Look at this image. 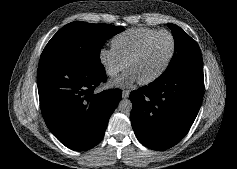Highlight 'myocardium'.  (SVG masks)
I'll return each mask as SVG.
<instances>
[{
    "mask_svg": "<svg viewBox=\"0 0 237 169\" xmlns=\"http://www.w3.org/2000/svg\"><path fill=\"white\" fill-rule=\"evenodd\" d=\"M161 34H167L170 37V39H171V51H170V54H169L165 64L162 66V68L158 72H156L155 74L151 75L150 77H148L146 79L138 80V83L141 84V85H147V84H150V83L156 81L157 79H159L166 72V70L168 69V67L170 66V64H171V62H172V60L174 58L175 51H176V42H175L174 36L172 35L171 32H169L167 30H160V31L155 32L154 34H152L151 36L146 38L141 43V45L136 49V51L129 57V59L126 62V68L129 70L131 63L142 54V52L144 51L146 46L155 37H157L158 35H161Z\"/></svg>",
    "mask_w": 237,
    "mask_h": 169,
    "instance_id": "myocardium-1",
    "label": "myocardium"
}]
</instances>
